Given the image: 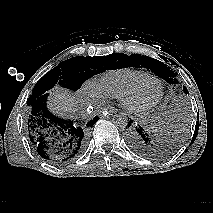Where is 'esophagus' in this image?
Here are the masks:
<instances>
[{
	"label": "esophagus",
	"mask_w": 213,
	"mask_h": 213,
	"mask_svg": "<svg viewBox=\"0 0 213 213\" xmlns=\"http://www.w3.org/2000/svg\"><path fill=\"white\" fill-rule=\"evenodd\" d=\"M117 113L118 111L115 108H109L108 110L103 111L104 116H112Z\"/></svg>",
	"instance_id": "34e87169"
}]
</instances>
